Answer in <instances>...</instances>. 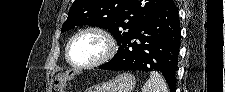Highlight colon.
<instances>
[{
    "mask_svg": "<svg viewBox=\"0 0 225 92\" xmlns=\"http://www.w3.org/2000/svg\"><path fill=\"white\" fill-rule=\"evenodd\" d=\"M67 79H68L67 74H62L56 79V87H57L56 91L58 92L64 91Z\"/></svg>",
    "mask_w": 225,
    "mask_h": 92,
    "instance_id": "obj_1",
    "label": "colon"
}]
</instances>
